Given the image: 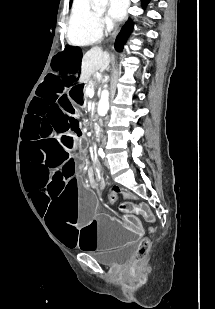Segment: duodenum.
<instances>
[{
  "label": "duodenum",
  "instance_id": "duodenum-1",
  "mask_svg": "<svg viewBox=\"0 0 215 309\" xmlns=\"http://www.w3.org/2000/svg\"><path fill=\"white\" fill-rule=\"evenodd\" d=\"M93 129L96 140L100 142L102 139V131H101V121L98 118H95L93 120Z\"/></svg>",
  "mask_w": 215,
  "mask_h": 309
}]
</instances>
